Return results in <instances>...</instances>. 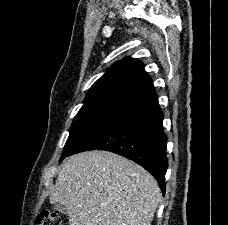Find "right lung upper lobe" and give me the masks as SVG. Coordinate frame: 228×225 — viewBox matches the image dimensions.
Segmentation results:
<instances>
[{
  "label": "right lung upper lobe",
  "instance_id": "cb5924a9",
  "mask_svg": "<svg viewBox=\"0 0 228 225\" xmlns=\"http://www.w3.org/2000/svg\"><path fill=\"white\" fill-rule=\"evenodd\" d=\"M114 83H122L143 90L152 84V79L144 71V64L141 61L137 58H125L115 62L92 87Z\"/></svg>",
  "mask_w": 228,
  "mask_h": 225
}]
</instances>
